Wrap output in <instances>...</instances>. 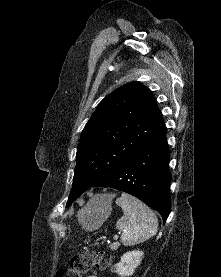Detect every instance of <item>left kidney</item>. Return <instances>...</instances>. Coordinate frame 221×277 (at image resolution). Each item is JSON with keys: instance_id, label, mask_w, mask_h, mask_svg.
<instances>
[{"instance_id": "left-kidney-1", "label": "left kidney", "mask_w": 221, "mask_h": 277, "mask_svg": "<svg viewBox=\"0 0 221 277\" xmlns=\"http://www.w3.org/2000/svg\"><path fill=\"white\" fill-rule=\"evenodd\" d=\"M143 252L139 250L126 252L121 257V261L116 264L115 272L121 277L131 276L140 265Z\"/></svg>"}]
</instances>
